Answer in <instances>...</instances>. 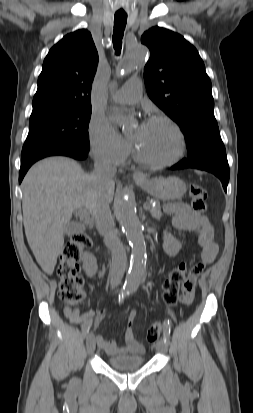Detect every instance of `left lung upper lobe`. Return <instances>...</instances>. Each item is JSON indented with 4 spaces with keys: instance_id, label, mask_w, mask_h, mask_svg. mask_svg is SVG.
<instances>
[{
    "instance_id": "left-lung-upper-lobe-1",
    "label": "left lung upper lobe",
    "mask_w": 253,
    "mask_h": 413,
    "mask_svg": "<svg viewBox=\"0 0 253 413\" xmlns=\"http://www.w3.org/2000/svg\"><path fill=\"white\" fill-rule=\"evenodd\" d=\"M150 49L144 80L151 100L181 128L188 160L226 153L214 117L211 81L196 48L181 35L161 27L146 31Z\"/></svg>"
}]
</instances>
